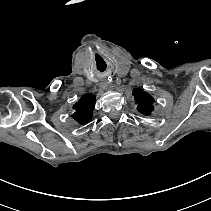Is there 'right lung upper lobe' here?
<instances>
[{
    "instance_id": "obj_1",
    "label": "right lung upper lobe",
    "mask_w": 211,
    "mask_h": 211,
    "mask_svg": "<svg viewBox=\"0 0 211 211\" xmlns=\"http://www.w3.org/2000/svg\"><path fill=\"white\" fill-rule=\"evenodd\" d=\"M95 105V97L86 94L73 106L75 112L72 117L80 124H86L92 119V111Z\"/></svg>"
}]
</instances>
